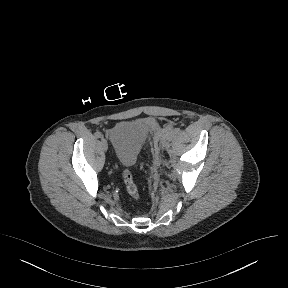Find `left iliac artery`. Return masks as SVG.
Segmentation results:
<instances>
[{
    "label": "left iliac artery",
    "instance_id": "44dca946",
    "mask_svg": "<svg viewBox=\"0 0 288 288\" xmlns=\"http://www.w3.org/2000/svg\"><path fill=\"white\" fill-rule=\"evenodd\" d=\"M179 132V129H175L172 134H177Z\"/></svg>",
    "mask_w": 288,
    "mask_h": 288
}]
</instances>
